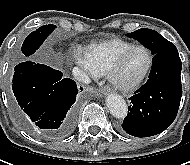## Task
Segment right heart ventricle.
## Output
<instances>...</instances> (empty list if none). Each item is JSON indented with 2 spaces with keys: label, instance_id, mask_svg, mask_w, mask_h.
I'll return each instance as SVG.
<instances>
[{
  "label": "right heart ventricle",
  "instance_id": "e07e8e85",
  "mask_svg": "<svg viewBox=\"0 0 190 165\" xmlns=\"http://www.w3.org/2000/svg\"><path fill=\"white\" fill-rule=\"evenodd\" d=\"M133 45L134 43L121 38L90 44L85 55L92 73L95 76L108 75L118 56Z\"/></svg>",
  "mask_w": 190,
  "mask_h": 165
}]
</instances>
